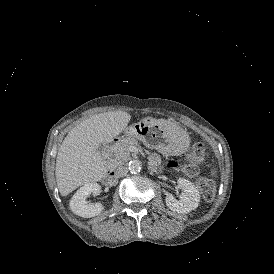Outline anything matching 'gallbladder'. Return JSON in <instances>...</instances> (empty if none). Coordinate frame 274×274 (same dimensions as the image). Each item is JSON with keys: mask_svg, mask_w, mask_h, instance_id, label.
Returning <instances> with one entry per match:
<instances>
[{"mask_svg": "<svg viewBox=\"0 0 274 274\" xmlns=\"http://www.w3.org/2000/svg\"><path fill=\"white\" fill-rule=\"evenodd\" d=\"M98 150H99V152H100V153H102V152H103V150H104L103 145H100Z\"/></svg>", "mask_w": 274, "mask_h": 274, "instance_id": "gallbladder-1", "label": "gallbladder"}]
</instances>
